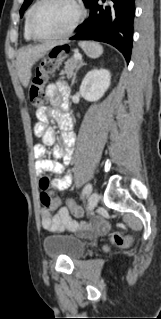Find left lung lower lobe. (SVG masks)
I'll use <instances>...</instances> for the list:
<instances>
[{"instance_id": "obj_1", "label": "left lung lower lobe", "mask_w": 161, "mask_h": 319, "mask_svg": "<svg viewBox=\"0 0 161 319\" xmlns=\"http://www.w3.org/2000/svg\"><path fill=\"white\" fill-rule=\"evenodd\" d=\"M98 1L88 2L86 7L90 9V16L76 28L78 33L70 40L109 43L129 62L133 41L135 0H107L105 5H100Z\"/></svg>"}]
</instances>
